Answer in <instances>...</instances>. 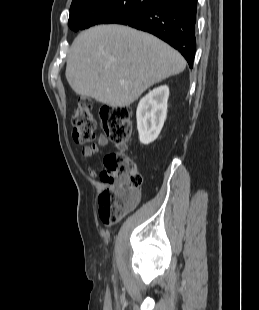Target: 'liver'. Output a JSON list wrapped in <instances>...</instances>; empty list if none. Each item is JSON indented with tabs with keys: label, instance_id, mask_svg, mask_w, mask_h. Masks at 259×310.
Instances as JSON below:
<instances>
[{
	"label": "liver",
	"instance_id": "liver-1",
	"mask_svg": "<svg viewBox=\"0 0 259 310\" xmlns=\"http://www.w3.org/2000/svg\"><path fill=\"white\" fill-rule=\"evenodd\" d=\"M185 67L182 55L157 37L112 24L92 27L75 38L65 74L76 94L125 107Z\"/></svg>",
	"mask_w": 259,
	"mask_h": 310
}]
</instances>
